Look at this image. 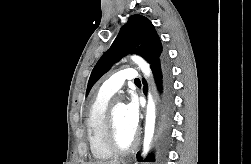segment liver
<instances>
[{
	"instance_id": "1",
	"label": "liver",
	"mask_w": 251,
	"mask_h": 164,
	"mask_svg": "<svg viewBox=\"0 0 251 164\" xmlns=\"http://www.w3.org/2000/svg\"><path fill=\"white\" fill-rule=\"evenodd\" d=\"M92 164H120L118 161H110V162H98V163H92Z\"/></svg>"
}]
</instances>
